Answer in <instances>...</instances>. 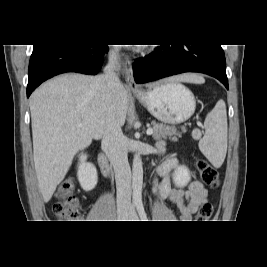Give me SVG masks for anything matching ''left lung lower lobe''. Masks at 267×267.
Instances as JSON below:
<instances>
[{"label":"left lung lower lobe","instance_id":"0a47b994","mask_svg":"<svg viewBox=\"0 0 267 267\" xmlns=\"http://www.w3.org/2000/svg\"><path fill=\"white\" fill-rule=\"evenodd\" d=\"M146 58L148 61L133 63L138 84L183 72H199L217 78L228 89L226 61L221 45H161Z\"/></svg>","mask_w":267,"mask_h":267}]
</instances>
